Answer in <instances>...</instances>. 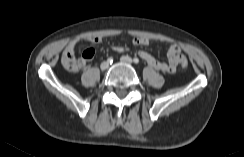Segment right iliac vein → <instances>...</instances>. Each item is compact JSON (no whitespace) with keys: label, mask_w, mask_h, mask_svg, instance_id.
Listing matches in <instances>:
<instances>
[{"label":"right iliac vein","mask_w":244,"mask_h":157,"mask_svg":"<svg viewBox=\"0 0 244 157\" xmlns=\"http://www.w3.org/2000/svg\"><path fill=\"white\" fill-rule=\"evenodd\" d=\"M108 67H109V63L106 61L102 62L100 65L101 70H106Z\"/></svg>","instance_id":"1"}]
</instances>
